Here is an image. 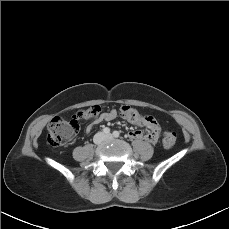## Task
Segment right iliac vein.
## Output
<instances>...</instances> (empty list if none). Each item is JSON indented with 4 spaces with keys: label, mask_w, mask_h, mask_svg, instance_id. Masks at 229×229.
Returning a JSON list of instances; mask_svg holds the SVG:
<instances>
[{
    "label": "right iliac vein",
    "mask_w": 229,
    "mask_h": 229,
    "mask_svg": "<svg viewBox=\"0 0 229 229\" xmlns=\"http://www.w3.org/2000/svg\"><path fill=\"white\" fill-rule=\"evenodd\" d=\"M104 138H105L104 135L102 133H99L96 137V141H102L104 140Z\"/></svg>",
    "instance_id": "1"
}]
</instances>
